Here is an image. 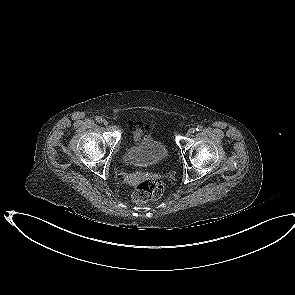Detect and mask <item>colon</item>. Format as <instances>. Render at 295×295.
Here are the masks:
<instances>
[{"label": "colon", "mask_w": 295, "mask_h": 295, "mask_svg": "<svg viewBox=\"0 0 295 295\" xmlns=\"http://www.w3.org/2000/svg\"><path fill=\"white\" fill-rule=\"evenodd\" d=\"M165 190L163 181L159 178H150L140 183L132 194V199L137 204L159 199Z\"/></svg>", "instance_id": "5ec220e1"}]
</instances>
